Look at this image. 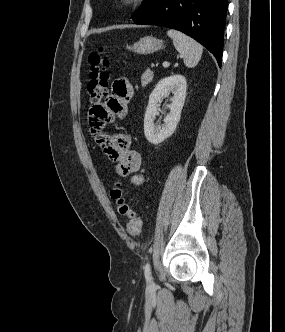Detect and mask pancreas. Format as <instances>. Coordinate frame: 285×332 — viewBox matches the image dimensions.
I'll list each match as a JSON object with an SVG mask.
<instances>
[{"label":"pancreas","mask_w":285,"mask_h":332,"mask_svg":"<svg viewBox=\"0 0 285 332\" xmlns=\"http://www.w3.org/2000/svg\"><path fill=\"white\" fill-rule=\"evenodd\" d=\"M152 79H153V72L150 69H148L141 76V84L145 86L148 83H150Z\"/></svg>","instance_id":"1"}]
</instances>
